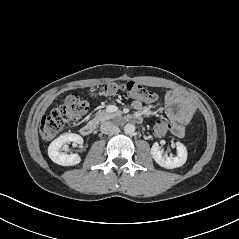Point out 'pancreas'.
I'll use <instances>...</instances> for the list:
<instances>
[{
	"mask_svg": "<svg viewBox=\"0 0 239 239\" xmlns=\"http://www.w3.org/2000/svg\"><path fill=\"white\" fill-rule=\"evenodd\" d=\"M114 116H115L114 114H111V113H109V112H107L105 110H101L95 116L94 121L96 123L104 122L106 120H109V119L113 118Z\"/></svg>",
	"mask_w": 239,
	"mask_h": 239,
	"instance_id": "cf45deb5",
	"label": "pancreas"
}]
</instances>
